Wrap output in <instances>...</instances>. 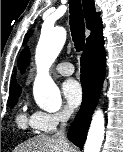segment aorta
<instances>
[{
    "instance_id": "762f6f07",
    "label": "aorta",
    "mask_w": 123,
    "mask_h": 152,
    "mask_svg": "<svg viewBox=\"0 0 123 152\" xmlns=\"http://www.w3.org/2000/svg\"><path fill=\"white\" fill-rule=\"evenodd\" d=\"M65 41L64 28L43 29L36 48L37 77L34 83V98L38 107L47 112L58 111L62 104L60 91L48 75V69L58 57ZM104 132V114L102 110H97L92 117L84 152H100Z\"/></svg>"
}]
</instances>
